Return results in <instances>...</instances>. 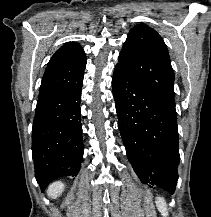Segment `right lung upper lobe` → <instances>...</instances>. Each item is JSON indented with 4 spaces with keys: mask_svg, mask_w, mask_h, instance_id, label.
I'll list each match as a JSON object with an SVG mask.
<instances>
[{
    "mask_svg": "<svg viewBox=\"0 0 211 217\" xmlns=\"http://www.w3.org/2000/svg\"><path fill=\"white\" fill-rule=\"evenodd\" d=\"M85 66L86 54L82 47L75 42L64 44L47 65L38 99L74 84Z\"/></svg>",
    "mask_w": 211,
    "mask_h": 217,
    "instance_id": "cb5924a9",
    "label": "right lung upper lobe"
}]
</instances>
